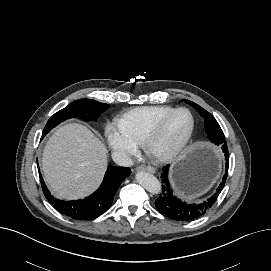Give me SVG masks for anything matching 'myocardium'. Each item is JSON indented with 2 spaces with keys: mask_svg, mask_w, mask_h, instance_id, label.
<instances>
[{
  "mask_svg": "<svg viewBox=\"0 0 271 271\" xmlns=\"http://www.w3.org/2000/svg\"><path fill=\"white\" fill-rule=\"evenodd\" d=\"M179 112H187L191 118V128L187 136L176 146L166 149V150H157L155 148L156 142L163 135L168 123L174 115ZM196 127L195 117L192 111L185 107H179L172 110L167 114L157 125L150 131V133L145 137L142 142V148L146 155L158 163H168L179 157L190 145Z\"/></svg>",
  "mask_w": 271,
  "mask_h": 271,
  "instance_id": "1",
  "label": "myocardium"
}]
</instances>
